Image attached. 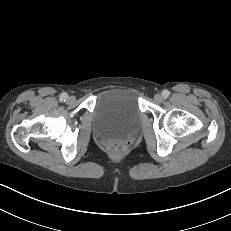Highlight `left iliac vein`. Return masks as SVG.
Wrapping results in <instances>:
<instances>
[{
	"mask_svg": "<svg viewBox=\"0 0 231 231\" xmlns=\"http://www.w3.org/2000/svg\"><path fill=\"white\" fill-rule=\"evenodd\" d=\"M154 100L158 103H161L163 101V96L161 94H155Z\"/></svg>",
	"mask_w": 231,
	"mask_h": 231,
	"instance_id": "left-iliac-vein-1",
	"label": "left iliac vein"
}]
</instances>
